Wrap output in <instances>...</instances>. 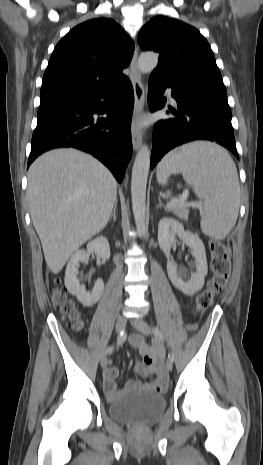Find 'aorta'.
Here are the masks:
<instances>
[{"instance_id":"1","label":"aorta","mask_w":263,"mask_h":465,"mask_svg":"<svg viewBox=\"0 0 263 465\" xmlns=\"http://www.w3.org/2000/svg\"><path fill=\"white\" fill-rule=\"evenodd\" d=\"M158 63V54L143 52L138 59V68L142 73H150ZM150 167V151L143 145L134 160L131 177L132 209L136 228L140 237L147 233L146 216V186Z\"/></svg>"}]
</instances>
